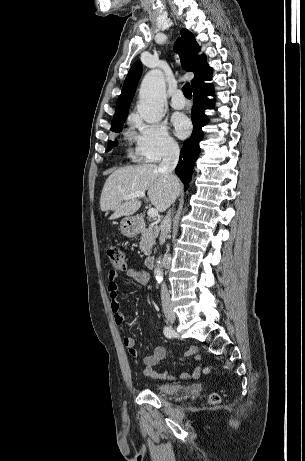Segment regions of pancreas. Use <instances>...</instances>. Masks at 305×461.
Returning a JSON list of instances; mask_svg holds the SVG:
<instances>
[{"label":"pancreas","mask_w":305,"mask_h":461,"mask_svg":"<svg viewBox=\"0 0 305 461\" xmlns=\"http://www.w3.org/2000/svg\"><path fill=\"white\" fill-rule=\"evenodd\" d=\"M159 228L157 225H149L146 230H143L141 233L140 241V250L145 254L149 255L153 245L155 244V239L158 236Z\"/></svg>","instance_id":"cf45deb5"}]
</instances>
